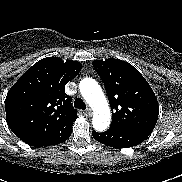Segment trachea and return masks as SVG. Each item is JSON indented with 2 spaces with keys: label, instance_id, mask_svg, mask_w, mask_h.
Segmentation results:
<instances>
[{
  "label": "trachea",
  "instance_id": "1",
  "mask_svg": "<svg viewBox=\"0 0 182 182\" xmlns=\"http://www.w3.org/2000/svg\"><path fill=\"white\" fill-rule=\"evenodd\" d=\"M74 107L78 109L85 110L86 109V104L81 98H77L74 101Z\"/></svg>",
  "mask_w": 182,
  "mask_h": 182
}]
</instances>
